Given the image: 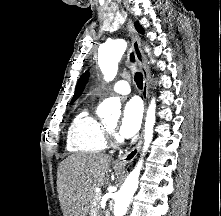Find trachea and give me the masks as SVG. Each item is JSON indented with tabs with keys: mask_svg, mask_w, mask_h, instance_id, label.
<instances>
[{
	"mask_svg": "<svg viewBox=\"0 0 221 216\" xmlns=\"http://www.w3.org/2000/svg\"><path fill=\"white\" fill-rule=\"evenodd\" d=\"M130 60H131L132 62L135 61L134 53H131V54H130ZM134 80H135V82H136L138 88H139V89H142V87H143V75H142V73L136 72V73H135V76H134Z\"/></svg>",
	"mask_w": 221,
	"mask_h": 216,
	"instance_id": "obj_1",
	"label": "trachea"
}]
</instances>
